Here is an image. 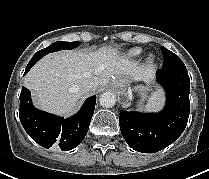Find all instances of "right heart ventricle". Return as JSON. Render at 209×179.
I'll use <instances>...</instances> for the list:
<instances>
[{
    "instance_id": "e07e8e85",
    "label": "right heart ventricle",
    "mask_w": 209,
    "mask_h": 179,
    "mask_svg": "<svg viewBox=\"0 0 209 179\" xmlns=\"http://www.w3.org/2000/svg\"><path fill=\"white\" fill-rule=\"evenodd\" d=\"M142 52H143L142 48L134 47V48L127 50L124 54V57L128 59H134V58L139 57L142 54Z\"/></svg>"
}]
</instances>
